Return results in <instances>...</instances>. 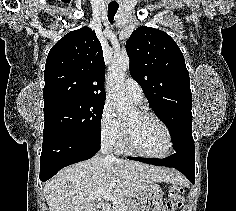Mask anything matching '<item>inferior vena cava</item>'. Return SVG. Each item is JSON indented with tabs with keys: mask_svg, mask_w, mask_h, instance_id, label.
<instances>
[{
	"mask_svg": "<svg viewBox=\"0 0 236 211\" xmlns=\"http://www.w3.org/2000/svg\"><path fill=\"white\" fill-rule=\"evenodd\" d=\"M109 148H110V144L108 141L102 142L100 153L103 155L106 154V158L109 160H115L116 157L112 153H109Z\"/></svg>",
	"mask_w": 236,
	"mask_h": 211,
	"instance_id": "inferior-vena-cava-1",
	"label": "inferior vena cava"
}]
</instances>
